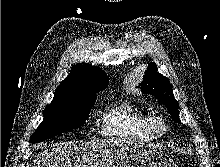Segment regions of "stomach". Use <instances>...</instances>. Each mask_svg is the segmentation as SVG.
I'll list each match as a JSON object with an SVG mask.
<instances>
[{
  "mask_svg": "<svg viewBox=\"0 0 220 167\" xmlns=\"http://www.w3.org/2000/svg\"><path fill=\"white\" fill-rule=\"evenodd\" d=\"M114 167H178L156 146L129 145Z\"/></svg>",
  "mask_w": 220,
  "mask_h": 167,
  "instance_id": "obj_1",
  "label": "stomach"
}]
</instances>
